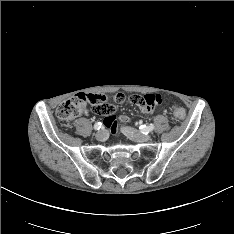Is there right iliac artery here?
<instances>
[{
  "instance_id": "1",
  "label": "right iliac artery",
  "mask_w": 234,
  "mask_h": 234,
  "mask_svg": "<svg viewBox=\"0 0 234 234\" xmlns=\"http://www.w3.org/2000/svg\"><path fill=\"white\" fill-rule=\"evenodd\" d=\"M101 128H102L101 122H97V123L94 124V129L95 130H100Z\"/></svg>"
}]
</instances>
